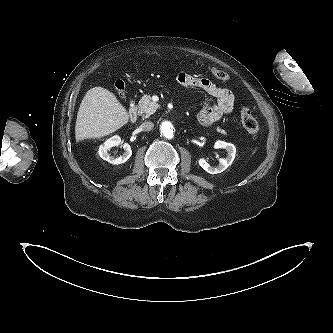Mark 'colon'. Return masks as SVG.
I'll use <instances>...</instances> for the list:
<instances>
[{"label":"colon","instance_id":"colon-1","mask_svg":"<svg viewBox=\"0 0 333 333\" xmlns=\"http://www.w3.org/2000/svg\"><path fill=\"white\" fill-rule=\"evenodd\" d=\"M212 75L223 82H226L229 80V75L220 69L217 68H212L211 69ZM115 89L117 93L122 96L124 94V83L121 80H118L115 84ZM240 116H241V121L243 124V127L247 131L249 135L252 137H256L259 134V124L257 120L254 118L252 115L251 110L248 107L243 106L240 110Z\"/></svg>","mask_w":333,"mask_h":333}]
</instances>
